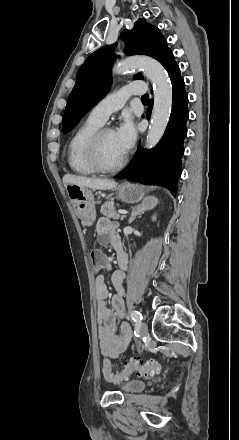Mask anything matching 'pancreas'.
<instances>
[{"mask_svg": "<svg viewBox=\"0 0 239 440\" xmlns=\"http://www.w3.org/2000/svg\"><path fill=\"white\" fill-rule=\"evenodd\" d=\"M100 214H103L106 218H113V220L120 218L119 214L115 212L114 202H104L103 206H101ZM123 218H125V216H121V220H123Z\"/></svg>", "mask_w": 239, "mask_h": 440, "instance_id": "1", "label": "pancreas"}]
</instances>
